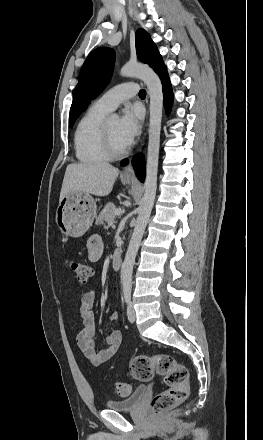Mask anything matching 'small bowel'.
I'll use <instances>...</instances> for the list:
<instances>
[{"label":"small bowel","instance_id":"small-bowel-1","mask_svg":"<svg viewBox=\"0 0 263 440\" xmlns=\"http://www.w3.org/2000/svg\"><path fill=\"white\" fill-rule=\"evenodd\" d=\"M103 254V242L99 235L91 236L86 244V255L89 261H98ZM96 293L90 290L81 297L79 317L82 319L83 328L76 336V344L83 356L94 366H98L111 359L119 350L122 342V335L118 329L113 330L105 337L106 348L101 351L95 350V316L93 307ZM110 322L114 326L119 324L117 312L111 313Z\"/></svg>","mask_w":263,"mask_h":440}]
</instances>
